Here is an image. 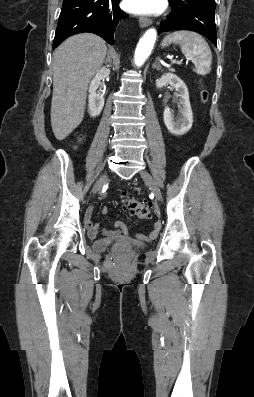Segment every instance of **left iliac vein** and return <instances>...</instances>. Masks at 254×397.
<instances>
[{
	"mask_svg": "<svg viewBox=\"0 0 254 397\" xmlns=\"http://www.w3.org/2000/svg\"><path fill=\"white\" fill-rule=\"evenodd\" d=\"M140 175L144 182L147 184V186L151 189V191L154 193L155 198L158 201H162V194L157 186L156 182L154 181L153 177L147 172V171H141Z\"/></svg>",
	"mask_w": 254,
	"mask_h": 397,
	"instance_id": "left-iliac-vein-1",
	"label": "left iliac vein"
}]
</instances>
